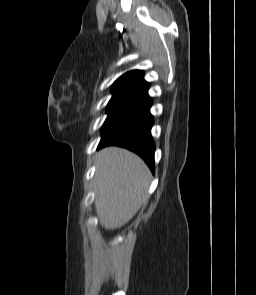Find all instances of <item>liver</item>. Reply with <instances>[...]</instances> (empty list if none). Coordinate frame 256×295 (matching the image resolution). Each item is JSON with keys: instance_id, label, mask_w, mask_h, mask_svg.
<instances>
[{"instance_id": "liver-1", "label": "liver", "mask_w": 256, "mask_h": 295, "mask_svg": "<svg viewBox=\"0 0 256 295\" xmlns=\"http://www.w3.org/2000/svg\"><path fill=\"white\" fill-rule=\"evenodd\" d=\"M95 177V209L106 229L128 223L147 201L151 173L139 156L126 149H102Z\"/></svg>"}]
</instances>
